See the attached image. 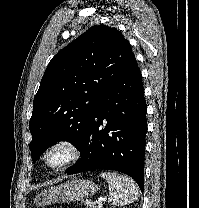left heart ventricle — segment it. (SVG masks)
<instances>
[{
    "label": "left heart ventricle",
    "instance_id": "obj_1",
    "mask_svg": "<svg viewBox=\"0 0 199 208\" xmlns=\"http://www.w3.org/2000/svg\"><path fill=\"white\" fill-rule=\"evenodd\" d=\"M68 158V151L65 148L59 147L52 150L48 156L50 164H59Z\"/></svg>",
    "mask_w": 199,
    "mask_h": 208
}]
</instances>
